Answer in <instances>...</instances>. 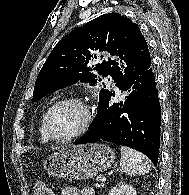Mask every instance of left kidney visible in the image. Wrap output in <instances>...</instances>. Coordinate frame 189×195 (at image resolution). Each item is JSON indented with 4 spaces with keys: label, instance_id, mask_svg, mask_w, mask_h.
<instances>
[{
    "label": "left kidney",
    "instance_id": "1",
    "mask_svg": "<svg viewBox=\"0 0 189 195\" xmlns=\"http://www.w3.org/2000/svg\"><path fill=\"white\" fill-rule=\"evenodd\" d=\"M108 195H137L135 188L126 184L113 187Z\"/></svg>",
    "mask_w": 189,
    "mask_h": 195
}]
</instances>
